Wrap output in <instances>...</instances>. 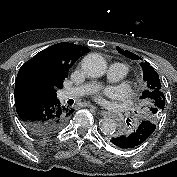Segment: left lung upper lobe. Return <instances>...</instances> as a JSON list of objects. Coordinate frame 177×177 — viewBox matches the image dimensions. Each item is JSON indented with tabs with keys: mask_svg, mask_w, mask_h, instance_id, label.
I'll list each match as a JSON object with an SVG mask.
<instances>
[{
	"mask_svg": "<svg viewBox=\"0 0 177 177\" xmlns=\"http://www.w3.org/2000/svg\"><path fill=\"white\" fill-rule=\"evenodd\" d=\"M120 53L130 57L129 51L120 50ZM140 66L143 70V80L145 90L140 97L146 104L143 118L156 124L165 107V96L163 93V87L161 80L159 79L158 73L154 68L147 62H141Z\"/></svg>",
	"mask_w": 177,
	"mask_h": 177,
	"instance_id": "1",
	"label": "left lung upper lobe"
}]
</instances>
